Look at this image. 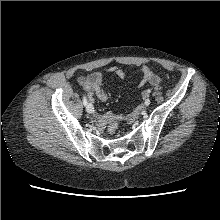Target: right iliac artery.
Instances as JSON below:
<instances>
[{
  "label": "right iliac artery",
  "instance_id": "right-iliac-artery-1",
  "mask_svg": "<svg viewBox=\"0 0 220 220\" xmlns=\"http://www.w3.org/2000/svg\"><path fill=\"white\" fill-rule=\"evenodd\" d=\"M83 104H84V106L88 105V101H87L86 96H83Z\"/></svg>",
  "mask_w": 220,
  "mask_h": 220
}]
</instances>
